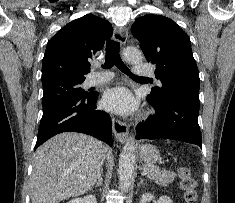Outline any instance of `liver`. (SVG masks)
<instances>
[{"label":"liver","instance_id":"obj_1","mask_svg":"<svg viewBox=\"0 0 235 203\" xmlns=\"http://www.w3.org/2000/svg\"><path fill=\"white\" fill-rule=\"evenodd\" d=\"M112 152L85 134H57L34 153L30 182L32 203H59L88 192Z\"/></svg>","mask_w":235,"mask_h":203}]
</instances>
